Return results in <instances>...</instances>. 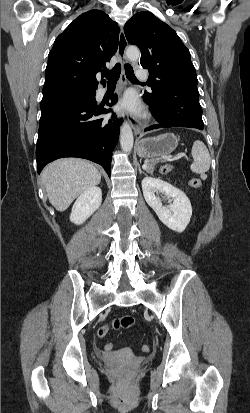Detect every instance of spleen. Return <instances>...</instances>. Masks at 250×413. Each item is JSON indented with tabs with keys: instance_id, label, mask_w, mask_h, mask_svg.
<instances>
[{
	"instance_id": "1",
	"label": "spleen",
	"mask_w": 250,
	"mask_h": 413,
	"mask_svg": "<svg viewBox=\"0 0 250 413\" xmlns=\"http://www.w3.org/2000/svg\"><path fill=\"white\" fill-rule=\"evenodd\" d=\"M191 154L194 160L190 166L192 172L196 174L207 172L210 168L211 158L205 144L200 140H196L193 143Z\"/></svg>"
}]
</instances>
